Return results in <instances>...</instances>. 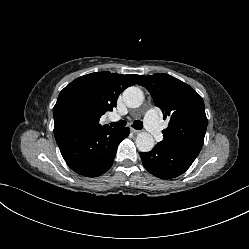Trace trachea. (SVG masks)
Listing matches in <instances>:
<instances>
[{
    "mask_svg": "<svg viewBox=\"0 0 249 249\" xmlns=\"http://www.w3.org/2000/svg\"><path fill=\"white\" fill-rule=\"evenodd\" d=\"M110 125L114 128H122L124 126H126V121L124 120H120L118 122H112L110 123ZM133 127L136 129V130H140L143 128V122L140 121V120H136L134 123H133Z\"/></svg>",
    "mask_w": 249,
    "mask_h": 249,
    "instance_id": "obj_1",
    "label": "trachea"
}]
</instances>
